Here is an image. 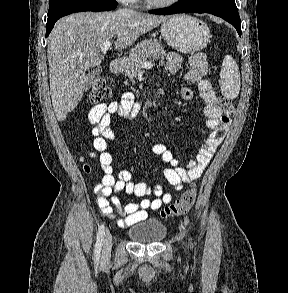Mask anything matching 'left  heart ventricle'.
Listing matches in <instances>:
<instances>
[{
  "mask_svg": "<svg viewBox=\"0 0 288 293\" xmlns=\"http://www.w3.org/2000/svg\"><path fill=\"white\" fill-rule=\"evenodd\" d=\"M155 1H166V0H155Z\"/></svg>",
  "mask_w": 288,
  "mask_h": 293,
  "instance_id": "b2bd125f",
  "label": "left heart ventricle"
}]
</instances>
